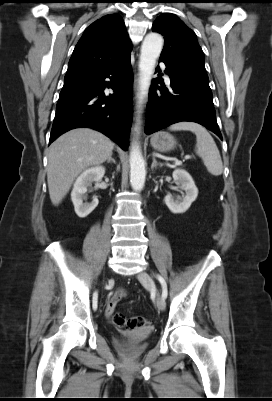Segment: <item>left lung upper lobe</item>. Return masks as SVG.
Masks as SVG:
<instances>
[{"instance_id":"1","label":"left lung upper lobe","mask_w":272,"mask_h":401,"mask_svg":"<svg viewBox=\"0 0 272 401\" xmlns=\"http://www.w3.org/2000/svg\"><path fill=\"white\" fill-rule=\"evenodd\" d=\"M152 31L161 33L165 39L160 58L207 75L204 54L195 33L176 15L168 13L159 16L153 23Z\"/></svg>"}]
</instances>
